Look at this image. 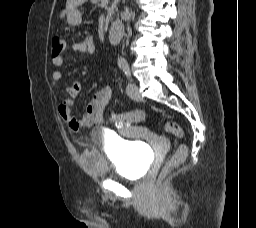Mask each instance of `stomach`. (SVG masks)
Instances as JSON below:
<instances>
[{
  "instance_id": "1",
  "label": "stomach",
  "mask_w": 256,
  "mask_h": 228,
  "mask_svg": "<svg viewBox=\"0 0 256 228\" xmlns=\"http://www.w3.org/2000/svg\"><path fill=\"white\" fill-rule=\"evenodd\" d=\"M59 18L62 19L65 16L67 17V23L71 26H78L82 22V13L77 8L74 7L72 9H65L59 13Z\"/></svg>"
}]
</instances>
